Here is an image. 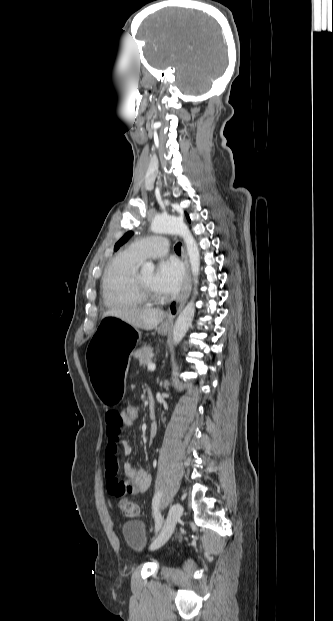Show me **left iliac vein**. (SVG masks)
Masks as SVG:
<instances>
[{
    "label": "left iliac vein",
    "mask_w": 333,
    "mask_h": 621,
    "mask_svg": "<svg viewBox=\"0 0 333 621\" xmlns=\"http://www.w3.org/2000/svg\"><path fill=\"white\" fill-rule=\"evenodd\" d=\"M183 512V507L180 503H175L171 506L167 519L163 525V528L159 536L152 542L150 549L154 550L161 547L170 538L176 523L180 519Z\"/></svg>",
    "instance_id": "4c4485c4"
}]
</instances>
